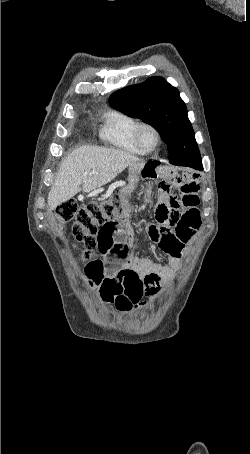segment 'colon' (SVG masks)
<instances>
[{
	"label": "colon",
	"mask_w": 250,
	"mask_h": 454,
	"mask_svg": "<svg viewBox=\"0 0 250 454\" xmlns=\"http://www.w3.org/2000/svg\"><path fill=\"white\" fill-rule=\"evenodd\" d=\"M129 214L119 194L113 195L108 201L78 206L74 201L67 200L56 208L58 220L65 224L75 219L72 233L80 245L82 258L87 260L98 247V233L107 224L114 223Z\"/></svg>",
	"instance_id": "colon-1"
}]
</instances>
